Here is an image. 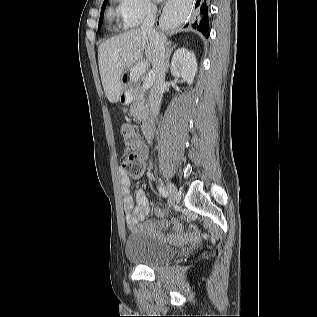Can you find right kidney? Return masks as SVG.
<instances>
[{
    "label": "right kidney",
    "instance_id": "ca27d5eb",
    "mask_svg": "<svg viewBox=\"0 0 317 317\" xmlns=\"http://www.w3.org/2000/svg\"><path fill=\"white\" fill-rule=\"evenodd\" d=\"M196 73L197 61L194 53L186 48L176 50L171 61V74L175 77H182L191 85Z\"/></svg>",
    "mask_w": 317,
    "mask_h": 317
}]
</instances>
